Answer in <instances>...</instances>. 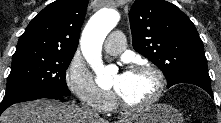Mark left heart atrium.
Instances as JSON below:
<instances>
[{
  "mask_svg": "<svg viewBox=\"0 0 221 123\" xmlns=\"http://www.w3.org/2000/svg\"><path fill=\"white\" fill-rule=\"evenodd\" d=\"M125 74H127V72H123V73H122V75H125Z\"/></svg>",
  "mask_w": 221,
  "mask_h": 123,
  "instance_id": "obj_1",
  "label": "left heart atrium"
}]
</instances>
